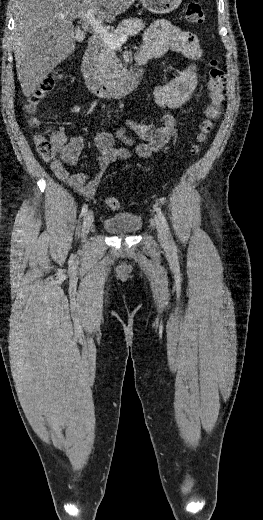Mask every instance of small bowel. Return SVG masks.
Segmentation results:
<instances>
[{"instance_id":"c3829d8e","label":"small bowel","mask_w":263,"mask_h":520,"mask_svg":"<svg viewBox=\"0 0 263 520\" xmlns=\"http://www.w3.org/2000/svg\"><path fill=\"white\" fill-rule=\"evenodd\" d=\"M169 50L179 52L191 61H198L203 55L198 38L193 32L174 26L166 20H157L146 30L144 43L139 51L154 58ZM197 82L196 66L190 65L176 78L154 87L153 95L156 104L163 109L182 107L195 91ZM176 127L177 120L169 113L162 114L157 123L141 124L127 120L124 126L117 130V137L126 145L133 146L132 150L114 148L113 135L106 131L98 132L95 137V145L100 155L96 162L98 172L94 176L83 172L70 174L67 170V166L77 165L84 148V137L76 135L68 140L63 132L55 131L51 135V140L56 145L58 157L51 162L50 166L60 180L84 198L91 199L111 163L116 160L129 159L132 154L144 158L149 157L173 138ZM126 129L134 131L145 142L134 145L133 139L127 134Z\"/></svg>"}]
</instances>
